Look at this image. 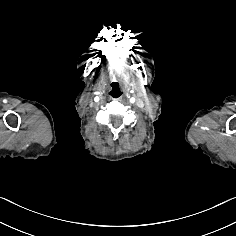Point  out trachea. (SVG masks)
<instances>
[{
  "instance_id": "obj_1",
  "label": "trachea",
  "mask_w": 236,
  "mask_h": 236,
  "mask_svg": "<svg viewBox=\"0 0 236 236\" xmlns=\"http://www.w3.org/2000/svg\"><path fill=\"white\" fill-rule=\"evenodd\" d=\"M110 87L109 96L112 99L120 98L123 95V89L117 83H112Z\"/></svg>"
}]
</instances>
